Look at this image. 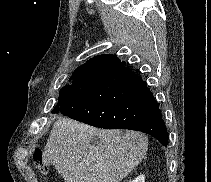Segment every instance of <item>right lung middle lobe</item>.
<instances>
[{
    "mask_svg": "<svg viewBox=\"0 0 211 182\" xmlns=\"http://www.w3.org/2000/svg\"><path fill=\"white\" fill-rule=\"evenodd\" d=\"M81 71H82V66L78 67V68L74 71L73 75H72L71 78L69 79V81H70L71 84H70V85H67V86H65V87H63V88L60 90V92H59V95H60V96H59V100H61V99H63V98H66V97L71 93V91L75 88L77 79H78V77H79Z\"/></svg>",
    "mask_w": 211,
    "mask_h": 182,
    "instance_id": "obj_1",
    "label": "right lung middle lobe"
}]
</instances>
